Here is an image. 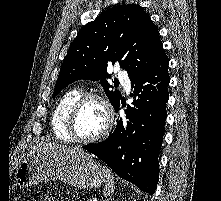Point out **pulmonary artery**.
<instances>
[{"label":"pulmonary artery","mask_w":221,"mask_h":201,"mask_svg":"<svg viewBox=\"0 0 221 201\" xmlns=\"http://www.w3.org/2000/svg\"><path fill=\"white\" fill-rule=\"evenodd\" d=\"M118 79L125 85L126 88L129 87L128 75L124 71L118 72Z\"/></svg>","instance_id":"obj_1"}]
</instances>
